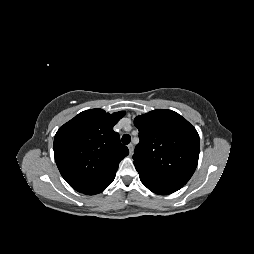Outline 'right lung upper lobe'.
<instances>
[{
    "label": "right lung upper lobe",
    "instance_id": "1",
    "mask_svg": "<svg viewBox=\"0 0 254 254\" xmlns=\"http://www.w3.org/2000/svg\"><path fill=\"white\" fill-rule=\"evenodd\" d=\"M125 115L102 109L86 110L57 131L54 156L67 183L78 192L93 189L115 177L120 161L129 154L114 125Z\"/></svg>",
    "mask_w": 254,
    "mask_h": 254
}]
</instances>
